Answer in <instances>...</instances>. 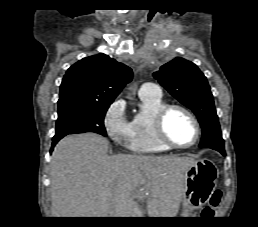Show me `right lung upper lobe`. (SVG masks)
<instances>
[{
    "mask_svg": "<svg viewBox=\"0 0 258 227\" xmlns=\"http://www.w3.org/2000/svg\"><path fill=\"white\" fill-rule=\"evenodd\" d=\"M131 80L132 70L128 66L98 54L78 61L67 70L59 97L112 103Z\"/></svg>",
    "mask_w": 258,
    "mask_h": 227,
    "instance_id": "obj_1",
    "label": "right lung upper lobe"
}]
</instances>
